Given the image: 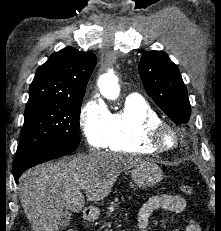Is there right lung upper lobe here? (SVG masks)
<instances>
[{"label": "right lung upper lobe", "mask_w": 221, "mask_h": 231, "mask_svg": "<svg viewBox=\"0 0 221 231\" xmlns=\"http://www.w3.org/2000/svg\"><path fill=\"white\" fill-rule=\"evenodd\" d=\"M97 59L95 54L67 47L52 54L36 71L27 104L83 98Z\"/></svg>", "instance_id": "obj_1"}]
</instances>
